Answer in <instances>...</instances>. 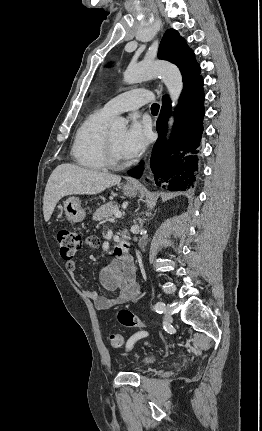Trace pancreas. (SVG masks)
Returning a JSON list of instances; mask_svg holds the SVG:
<instances>
[{"label": "pancreas", "instance_id": "1", "mask_svg": "<svg viewBox=\"0 0 262 431\" xmlns=\"http://www.w3.org/2000/svg\"><path fill=\"white\" fill-rule=\"evenodd\" d=\"M119 210V205L115 202H109L100 206L93 214V220L101 221L103 219L111 218L114 212Z\"/></svg>", "mask_w": 262, "mask_h": 431}]
</instances>
